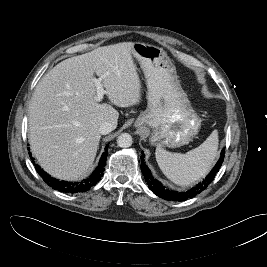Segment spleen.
Masks as SVG:
<instances>
[{
	"label": "spleen",
	"instance_id": "3e777b00",
	"mask_svg": "<svg viewBox=\"0 0 267 267\" xmlns=\"http://www.w3.org/2000/svg\"><path fill=\"white\" fill-rule=\"evenodd\" d=\"M218 131L197 148L185 154L172 153L157 147L155 156L163 174L177 185L187 186L203 177L213 165L217 157Z\"/></svg>",
	"mask_w": 267,
	"mask_h": 267
}]
</instances>
